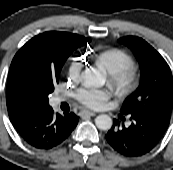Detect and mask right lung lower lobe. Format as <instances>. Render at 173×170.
Wrapping results in <instances>:
<instances>
[{
    "mask_svg": "<svg viewBox=\"0 0 173 170\" xmlns=\"http://www.w3.org/2000/svg\"><path fill=\"white\" fill-rule=\"evenodd\" d=\"M8 114L19 135L38 149H51L62 143L74 130L79 119L74 113L64 116L54 114L49 105L24 106Z\"/></svg>",
    "mask_w": 173,
    "mask_h": 170,
    "instance_id": "98d812e1",
    "label": "right lung lower lobe"
}]
</instances>
